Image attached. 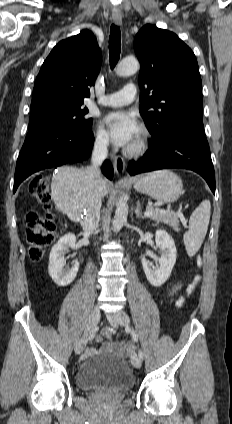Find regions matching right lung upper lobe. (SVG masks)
Returning a JSON list of instances; mask_svg holds the SVG:
<instances>
[{
	"label": "right lung upper lobe",
	"mask_w": 232,
	"mask_h": 424,
	"mask_svg": "<svg viewBox=\"0 0 232 424\" xmlns=\"http://www.w3.org/2000/svg\"><path fill=\"white\" fill-rule=\"evenodd\" d=\"M101 66V51L88 30L60 41L36 78L31 108L49 103L82 105Z\"/></svg>",
	"instance_id": "obj_1"
}]
</instances>
